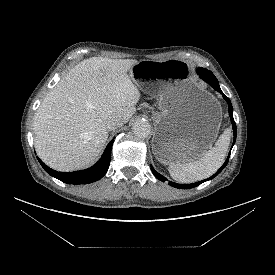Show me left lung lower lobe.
Instances as JSON below:
<instances>
[{
    "instance_id": "0a47b994",
    "label": "left lung lower lobe",
    "mask_w": 275,
    "mask_h": 275,
    "mask_svg": "<svg viewBox=\"0 0 275 275\" xmlns=\"http://www.w3.org/2000/svg\"><path fill=\"white\" fill-rule=\"evenodd\" d=\"M197 73L199 74V76L204 81L209 83L216 91L220 92L222 94L223 98L225 99V101L228 103V105H229V116L231 118L232 128H233V132H234V140H233V145H234V143L236 141L237 127H236V124H235V121H234V118H233V107H232V104L230 102V99L223 94V92L221 91V89L219 87L218 80L212 74L211 71H209L205 68H199L197 70ZM230 153H231V151H230ZM230 153H229V156H230ZM229 156L226 159L225 163L221 166V168L214 175H212L208 179H205V180H202V181H199V182H196V183H192V184H177V183H174V182L170 181L169 185H171L172 187H175V188H180V189H190V188L196 187V186L200 185L201 183H203L207 180H210V179L214 178L215 176H217L221 172V170L224 169L225 166L227 165V163L229 161ZM151 170H152V173L154 174V176L157 179H159L160 181L165 182L167 180L164 176H162L157 171H155V169L152 166H151Z\"/></svg>"
}]
</instances>
